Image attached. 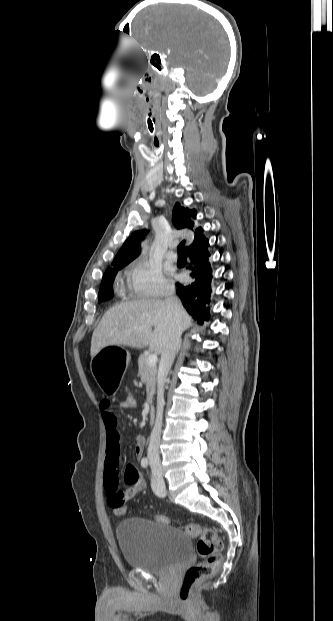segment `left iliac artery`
<instances>
[{"instance_id": "1", "label": "left iliac artery", "mask_w": 333, "mask_h": 621, "mask_svg": "<svg viewBox=\"0 0 333 621\" xmlns=\"http://www.w3.org/2000/svg\"><path fill=\"white\" fill-rule=\"evenodd\" d=\"M151 486H152V489L155 491V489L157 488L156 483L152 481Z\"/></svg>"}]
</instances>
